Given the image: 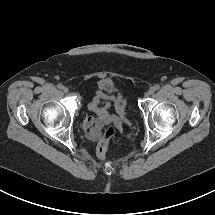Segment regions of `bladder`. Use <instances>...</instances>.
<instances>
[{"label": "bladder", "mask_w": 215, "mask_h": 215, "mask_svg": "<svg viewBox=\"0 0 215 215\" xmlns=\"http://www.w3.org/2000/svg\"><path fill=\"white\" fill-rule=\"evenodd\" d=\"M97 88L101 91L110 93L115 89V84L112 80L105 79L98 83Z\"/></svg>", "instance_id": "31cf9c89"}]
</instances>
